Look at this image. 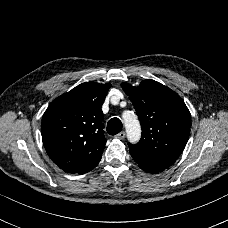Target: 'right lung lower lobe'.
Here are the masks:
<instances>
[{"label": "right lung lower lobe", "instance_id": "right-lung-lower-lobe-1", "mask_svg": "<svg viewBox=\"0 0 228 228\" xmlns=\"http://www.w3.org/2000/svg\"><path fill=\"white\" fill-rule=\"evenodd\" d=\"M99 162H97L96 164H94L93 166H91L90 168H88L87 170L81 172V173H78V174H84V173H87L89 171H91L93 168H95L97 165H98Z\"/></svg>", "mask_w": 228, "mask_h": 228}]
</instances>
